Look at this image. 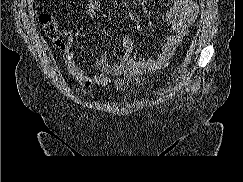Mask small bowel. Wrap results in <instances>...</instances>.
Here are the masks:
<instances>
[{"mask_svg": "<svg viewBox=\"0 0 243 182\" xmlns=\"http://www.w3.org/2000/svg\"><path fill=\"white\" fill-rule=\"evenodd\" d=\"M198 8L193 0H174L172 5L164 10L170 33L161 42L160 53L154 56H144L135 53V43L130 36H124L122 45L124 54L118 63H110L106 51L92 63L94 71L85 69L87 61L82 55L71 51L75 32L68 38L65 50V65L69 75L84 87L98 86L103 89L113 85L118 90H125L129 83H139L141 76L148 71L157 70L168 60L189 33L191 25L197 17ZM85 15L92 19L97 15L106 16L98 0H89L84 8Z\"/></svg>", "mask_w": 243, "mask_h": 182, "instance_id": "c3829d8e", "label": "small bowel"}]
</instances>
